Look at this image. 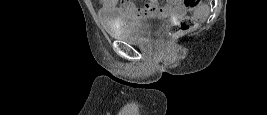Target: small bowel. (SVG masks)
Segmentation results:
<instances>
[{
	"label": "small bowel",
	"instance_id": "obj_1",
	"mask_svg": "<svg viewBox=\"0 0 267 115\" xmlns=\"http://www.w3.org/2000/svg\"><path fill=\"white\" fill-rule=\"evenodd\" d=\"M103 10L117 8L126 19L134 20L145 14H160L165 16L179 15L183 8L179 1H169L163 5L156 1H150L143 6H138L134 1H124L118 4L115 0H102Z\"/></svg>",
	"mask_w": 267,
	"mask_h": 115
}]
</instances>
